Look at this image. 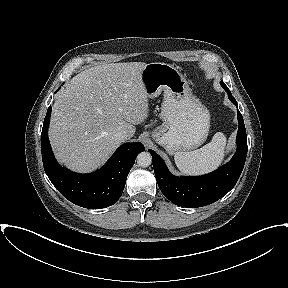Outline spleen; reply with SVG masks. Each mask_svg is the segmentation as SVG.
<instances>
[{
  "instance_id": "1",
  "label": "spleen",
  "mask_w": 288,
  "mask_h": 288,
  "mask_svg": "<svg viewBox=\"0 0 288 288\" xmlns=\"http://www.w3.org/2000/svg\"><path fill=\"white\" fill-rule=\"evenodd\" d=\"M226 137L222 132L214 134L210 143L190 152H176L174 160L178 169L187 175H201L215 170L225 153Z\"/></svg>"
}]
</instances>
